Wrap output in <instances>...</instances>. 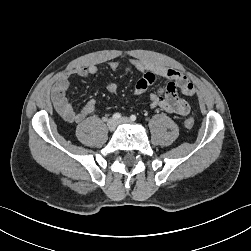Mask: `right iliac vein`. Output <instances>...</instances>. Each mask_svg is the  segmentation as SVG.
I'll use <instances>...</instances> for the list:
<instances>
[{"label": "right iliac vein", "mask_w": 251, "mask_h": 251, "mask_svg": "<svg viewBox=\"0 0 251 251\" xmlns=\"http://www.w3.org/2000/svg\"><path fill=\"white\" fill-rule=\"evenodd\" d=\"M118 125V121L114 118H111L107 122V127L110 131H114Z\"/></svg>", "instance_id": "63e3f726"}]
</instances>
